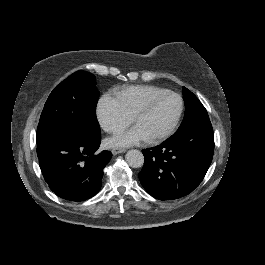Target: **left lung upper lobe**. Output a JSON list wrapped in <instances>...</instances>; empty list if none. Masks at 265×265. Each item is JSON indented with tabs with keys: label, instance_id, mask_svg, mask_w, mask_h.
Masks as SVG:
<instances>
[{
	"label": "left lung upper lobe",
	"instance_id": "1",
	"mask_svg": "<svg viewBox=\"0 0 265 265\" xmlns=\"http://www.w3.org/2000/svg\"><path fill=\"white\" fill-rule=\"evenodd\" d=\"M183 99L185 102V116L177 132L210 121L205 107L198 98L185 87H183Z\"/></svg>",
	"mask_w": 265,
	"mask_h": 265
}]
</instances>
